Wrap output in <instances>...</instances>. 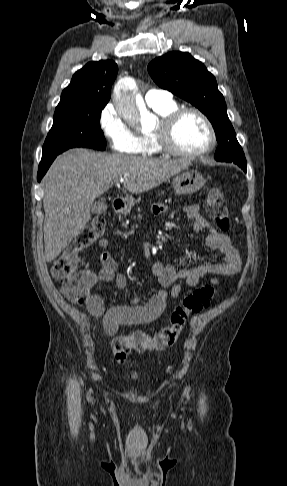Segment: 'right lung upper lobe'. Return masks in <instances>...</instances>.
<instances>
[{
	"label": "right lung upper lobe",
	"instance_id": "cb5924a9",
	"mask_svg": "<svg viewBox=\"0 0 287 486\" xmlns=\"http://www.w3.org/2000/svg\"><path fill=\"white\" fill-rule=\"evenodd\" d=\"M118 72L114 61L89 62L72 77L62 94L58 106L79 103H108L111 86Z\"/></svg>",
	"mask_w": 287,
	"mask_h": 486
}]
</instances>
